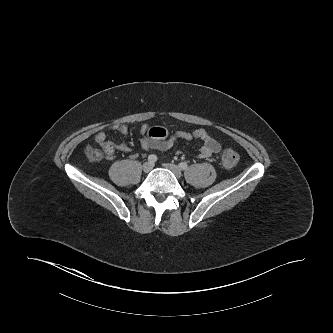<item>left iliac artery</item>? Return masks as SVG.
<instances>
[{"mask_svg":"<svg viewBox=\"0 0 333 333\" xmlns=\"http://www.w3.org/2000/svg\"><path fill=\"white\" fill-rule=\"evenodd\" d=\"M178 166H179V168L182 169V170H185V169L188 168V165H187L186 162H181V163H179Z\"/></svg>","mask_w":333,"mask_h":333,"instance_id":"left-iliac-artery-1","label":"left iliac artery"}]
</instances>
